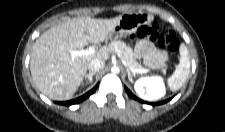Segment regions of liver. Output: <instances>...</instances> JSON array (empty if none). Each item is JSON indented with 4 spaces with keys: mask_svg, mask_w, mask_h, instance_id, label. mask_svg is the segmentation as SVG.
<instances>
[{
    "mask_svg": "<svg viewBox=\"0 0 225 132\" xmlns=\"http://www.w3.org/2000/svg\"><path fill=\"white\" fill-rule=\"evenodd\" d=\"M122 16L112 19L73 18L45 31L34 43L30 71L36 87L53 100H69L83 81L91 60H107L108 48L72 57V51L105 41Z\"/></svg>",
    "mask_w": 225,
    "mask_h": 132,
    "instance_id": "liver-1",
    "label": "liver"
}]
</instances>
